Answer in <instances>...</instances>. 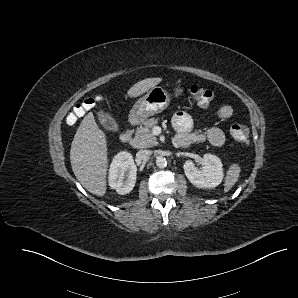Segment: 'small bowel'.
Returning a JSON list of instances; mask_svg holds the SVG:
<instances>
[{
  "instance_id": "obj_1",
  "label": "small bowel",
  "mask_w": 298,
  "mask_h": 298,
  "mask_svg": "<svg viewBox=\"0 0 298 298\" xmlns=\"http://www.w3.org/2000/svg\"><path fill=\"white\" fill-rule=\"evenodd\" d=\"M233 115V108L230 105H222L217 110V116L221 120H227ZM172 125L178 133H188L193 127V121L186 112H177L172 118ZM201 139L207 140L210 144L216 147L224 145L226 138L225 134L219 128H211L206 133L201 135Z\"/></svg>"
}]
</instances>
